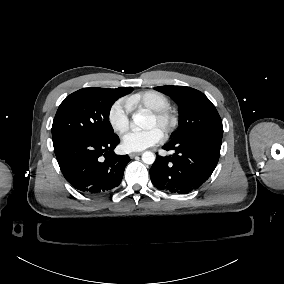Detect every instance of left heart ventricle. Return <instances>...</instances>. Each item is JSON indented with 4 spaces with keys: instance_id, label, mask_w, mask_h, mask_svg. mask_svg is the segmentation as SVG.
Returning a JSON list of instances; mask_svg holds the SVG:
<instances>
[{
    "instance_id": "b2bd125f",
    "label": "left heart ventricle",
    "mask_w": 284,
    "mask_h": 284,
    "mask_svg": "<svg viewBox=\"0 0 284 284\" xmlns=\"http://www.w3.org/2000/svg\"><path fill=\"white\" fill-rule=\"evenodd\" d=\"M151 127H156V128H158V126H157V123H156V120H155V118L154 117H152V120H151Z\"/></svg>"
}]
</instances>
